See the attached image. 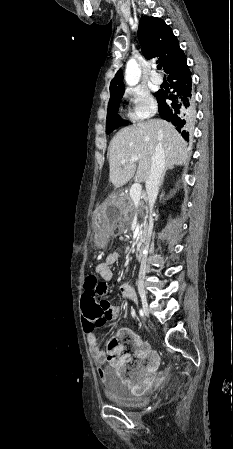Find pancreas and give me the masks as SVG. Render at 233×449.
Wrapping results in <instances>:
<instances>
[{
  "mask_svg": "<svg viewBox=\"0 0 233 449\" xmlns=\"http://www.w3.org/2000/svg\"><path fill=\"white\" fill-rule=\"evenodd\" d=\"M120 204L122 209V214L124 218H133L135 215L140 216L143 220L147 216L146 210L147 207L144 205V202L141 200L136 207L130 195H124L120 198Z\"/></svg>",
  "mask_w": 233,
  "mask_h": 449,
  "instance_id": "obj_1",
  "label": "pancreas"
}]
</instances>
